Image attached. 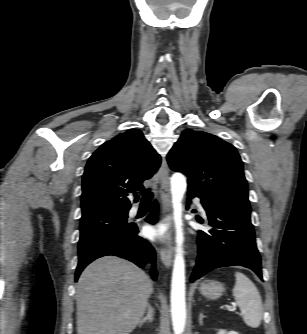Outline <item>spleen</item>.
Instances as JSON below:
<instances>
[{"mask_svg": "<svg viewBox=\"0 0 307 334\" xmlns=\"http://www.w3.org/2000/svg\"><path fill=\"white\" fill-rule=\"evenodd\" d=\"M233 296L239 306L244 322L252 328L261 324L263 306L260 293L255 284L243 273H235Z\"/></svg>", "mask_w": 307, "mask_h": 334, "instance_id": "spleen-1", "label": "spleen"}]
</instances>
